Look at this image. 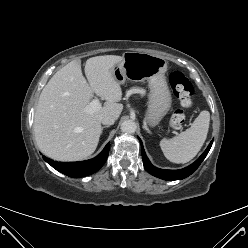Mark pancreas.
Listing matches in <instances>:
<instances>
[{"mask_svg": "<svg viewBox=\"0 0 248 248\" xmlns=\"http://www.w3.org/2000/svg\"><path fill=\"white\" fill-rule=\"evenodd\" d=\"M135 93L144 95V94H145V90L142 89V88H140V87H132V88L127 92L128 95H130V94H135Z\"/></svg>", "mask_w": 248, "mask_h": 248, "instance_id": "obj_1", "label": "pancreas"}]
</instances>
